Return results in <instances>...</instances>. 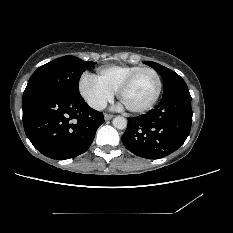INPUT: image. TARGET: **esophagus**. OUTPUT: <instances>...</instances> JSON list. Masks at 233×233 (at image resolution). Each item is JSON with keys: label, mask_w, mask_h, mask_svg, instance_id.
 <instances>
[{"label": "esophagus", "mask_w": 233, "mask_h": 233, "mask_svg": "<svg viewBox=\"0 0 233 233\" xmlns=\"http://www.w3.org/2000/svg\"><path fill=\"white\" fill-rule=\"evenodd\" d=\"M112 118H113V115H111V114H105L104 115L105 120H111Z\"/></svg>", "instance_id": "obj_1"}]
</instances>
